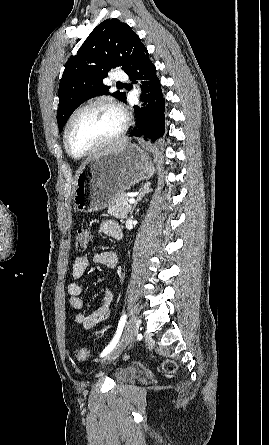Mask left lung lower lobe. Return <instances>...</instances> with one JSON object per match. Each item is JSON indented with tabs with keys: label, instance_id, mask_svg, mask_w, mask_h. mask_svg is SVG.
Returning <instances> with one entry per match:
<instances>
[{
	"label": "left lung lower lobe",
	"instance_id": "left-lung-lower-lobe-1",
	"mask_svg": "<svg viewBox=\"0 0 269 445\" xmlns=\"http://www.w3.org/2000/svg\"><path fill=\"white\" fill-rule=\"evenodd\" d=\"M127 75L132 83H137V80L142 83L141 100L144 102L143 108L134 106L136 124L129 136L144 135L145 139L157 140L165 131V99L155 65L150 61L147 50Z\"/></svg>",
	"mask_w": 269,
	"mask_h": 445
}]
</instances>
